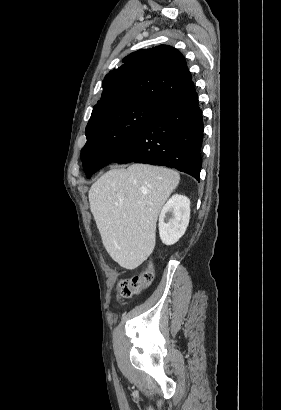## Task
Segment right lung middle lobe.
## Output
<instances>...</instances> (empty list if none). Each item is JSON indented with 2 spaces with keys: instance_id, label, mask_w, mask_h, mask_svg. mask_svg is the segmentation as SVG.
<instances>
[{
  "instance_id": "dd1d6c3e",
  "label": "right lung middle lobe",
  "mask_w": 281,
  "mask_h": 410,
  "mask_svg": "<svg viewBox=\"0 0 281 410\" xmlns=\"http://www.w3.org/2000/svg\"><path fill=\"white\" fill-rule=\"evenodd\" d=\"M159 110L137 103L104 108L91 115L86 127L87 142L81 152L87 178L120 156Z\"/></svg>"
}]
</instances>
